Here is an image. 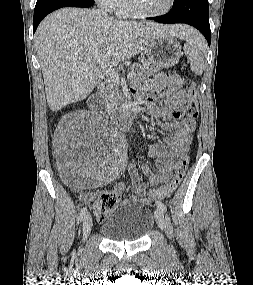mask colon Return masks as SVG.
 Here are the masks:
<instances>
[{
  "label": "colon",
  "mask_w": 253,
  "mask_h": 285,
  "mask_svg": "<svg viewBox=\"0 0 253 285\" xmlns=\"http://www.w3.org/2000/svg\"><path fill=\"white\" fill-rule=\"evenodd\" d=\"M186 116L189 120L195 121L199 116L198 91L196 84L192 81L188 86V102L186 105ZM188 166V157L180 162L172 180L166 185L153 188L152 195L171 194L183 181ZM88 200L99 220H104L109 212L117 205L119 195L114 190H107L95 195L85 197Z\"/></svg>",
  "instance_id": "5ec220e1"
}]
</instances>
